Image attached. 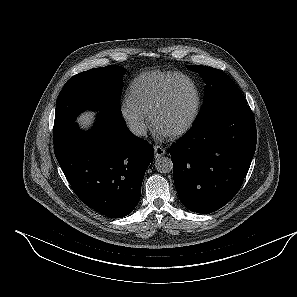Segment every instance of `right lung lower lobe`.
Instances as JSON below:
<instances>
[{
	"label": "right lung lower lobe",
	"instance_id": "right-lung-lower-lobe-1",
	"mask_svg": "<svg viewBox=\"0 0 297 297\" xmlns=\"http://www.w3.org/2000/svg\"><path fill=\"white\" fill-rule=\"evenodd\" d=\"M55 156L76 195L97 212L121 218L137 205L153 147L133 135L120 115L99 112L95 126L74 123L54 143Z\"/></svg>",
	"mask_w": 297,
	"mask_h": 297
}]
</instances>
